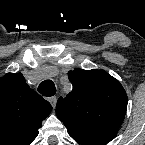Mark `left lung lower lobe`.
<instances>
[{
	"label": "left lung lower lobe",
	"mask_w": 145,
	"mask_h": 145,
	"mask_svg": "<svg viewBox=\"0 0 145 145\" xmlns=\"http://www.w3.org/2000/svg\"><path fill=\"white\" fill-rule=\"evenodd\" d=\"M68 134L82 145H104L110 142L119 129L115 128H89L80 126H67Z\"/></svg>",
	"instance_id": "0a47b994"
}]
</instances>
